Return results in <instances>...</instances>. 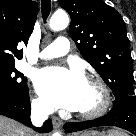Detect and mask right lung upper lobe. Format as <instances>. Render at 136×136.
<instances>
[{
  "label": "right lung upper lobe",
  "instance_id": "cb5924a9",
  "mask_svg": "<svg viewBox=\"0 0 136 136\" xmlns=\"http://www.w3.org/2000/svg\"><path fill=\"white\" fill-rule=\"evenodd\" d=\"M32 0H0V64L23 57L20 44L27 45L37 17Z\"/></svg>",
  "mask_w": 136,
  "mask_h": 136
}]
</instances>
